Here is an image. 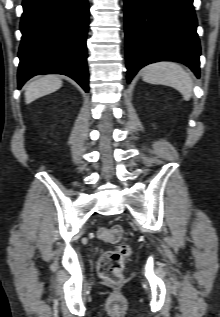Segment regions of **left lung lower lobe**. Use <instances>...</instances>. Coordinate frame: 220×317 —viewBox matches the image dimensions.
<instances>
[{
	"label": "left lung lower lobe",
	"instance_id": "left-lung-lower-lobe-1",
	"mask_svg": "<svg viewBox=\"0 0 220 317\" xmlns=\"http://www.w3.org/2000/svg\"><path fill=\"white\" fill-rule=\"evenodd\" d=\"M127 81L161 60L184 63L200 75L193 0H124Z\"/></svg>",
	"mask_w": 220,
	"mask_h": 317
}]
</instances>
